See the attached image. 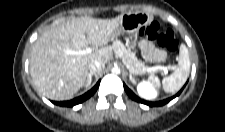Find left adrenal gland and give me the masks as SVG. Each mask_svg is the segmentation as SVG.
I'll use <instances>...</instances> for the list:
<instances>
[{
	"label": "left adrenal gland",
	"instance_id": "left-adrenal-gland-1",
	"mask_svg": "<svg viewBox=\"0 0 225 132\" xmlns=\"http://www.w3.org/2000/svg\"><path fill=\"white\" fill-rule=\"evenodd\" d=\"M129 79L133 84H135V79L133 78L132 73L129 74Z\"/></svg>",
	"mask_w": 225,
	"mask_h": 132
}]
</instances>
